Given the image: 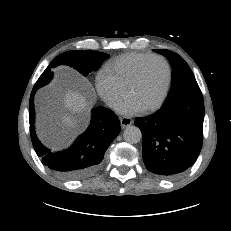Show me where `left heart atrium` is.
Masks as SVG:
<instances>
[{
  "label": "left heart atrium",
  "mask_w": 231,
  "mask_h": 231,
  "mask_svg": "<svg viewBox=\"0 0 231 231\" xmlns=\"http://www.w3.org/2000/svg\"><path fill=\"white\" fill-rule=\"evenodd\" d=\"M118 110L124 115H133L142 111L143 108L133 99L128 97L124 102L119 105Z\"/></svg>",
  "instance_id": "obj_1"
}]
</instances>
